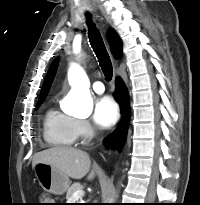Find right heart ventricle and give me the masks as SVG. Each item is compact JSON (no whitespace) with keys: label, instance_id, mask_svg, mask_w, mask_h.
Instances as JSON below:
<instances>
[{"label":"right heart ventricle","instance_id":"e07e8e85","mask_svg":"<svg viewBox=\"0 0 200 205\" xmlns=\"http://www.w3.org/2000/svg\"><path fill=\"white\" fill-rule=\"evenodd\" d=\"M75 119L51 107L43 118V138L54 147H71L77 136L75 133Z\"/></svg>","mask_w":200,"mask_h":205}]
</instances>
